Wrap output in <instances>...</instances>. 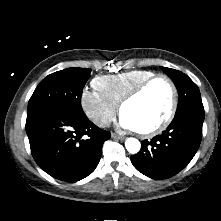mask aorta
I'll list each match as a JSON object with an SVG mask.
<instances>
[{
    "label": "aorta",
    "mask_w": 221,
    "mask_h": 221,
    "mask_svg": "<svg viewBox=\"0 0 221 221\" xmlns=\"http://www.w3.org/2000/svg\"><path fill=\"white\" fill-rule=\"evenodd\" d=\"M125 147L129 153L136 154L139 152L141 144L136 138H128L125 141Z\"/></svg>",
    "instance_id": "aorta-1"
}]
</instances>
